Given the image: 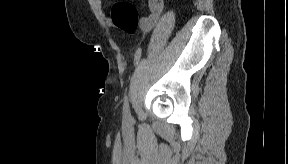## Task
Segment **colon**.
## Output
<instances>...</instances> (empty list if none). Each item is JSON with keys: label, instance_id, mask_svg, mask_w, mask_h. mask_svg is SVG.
Here are the masks:
<instances>
[{"label": "colon", "instance_id": "1", "mask_svg": "<svg viewBox=\"0 0 288 164\" xmlns=\"http://www.w3.org/2000/svg\"><path fill=\"white\" fill-rule=\"evenodd\" d=\"M159 12L151 9V16L156 17ZM111 18L115 25L129 34L138 31L140 15L137 8L128 1H119L111 9ZM148 27V24H145Z\"/></svg>", "mask_w": 288, "mask_h": 164}]
</instances>
